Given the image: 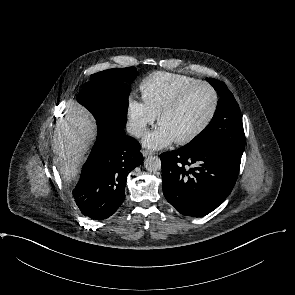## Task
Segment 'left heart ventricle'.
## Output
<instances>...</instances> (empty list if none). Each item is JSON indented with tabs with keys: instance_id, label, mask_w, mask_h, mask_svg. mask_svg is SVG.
Segmentation results:
<instances>
[{
	"instance_id": "obj_1",
	"label": "left heart ventricle",
	"mask_w": 295,
	"mask_h": 295,
	"mask_svg": "<svg viewBox=\"0 0 295 295\" xmlns=\"http://www.w3.org/2000/svg\"><path fill=\"white\" fill-rule=\"evenodd\" d=\"M213 107V95L204 86L195 88L175 112L165 116L161 124L166 126L176 140L195 132L209 117Z\"/></svg>"
}]
</instances>
